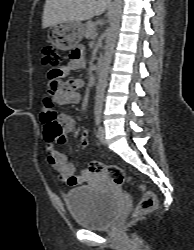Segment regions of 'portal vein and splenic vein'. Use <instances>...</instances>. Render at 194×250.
I'll return each mask as SVG.
<instances>
[{"mask_svg": "<svg viewBox=\"0 0 194 250\" xmlns=\"http://www.w3.org/2000/svg\"><path fill=\"white\" fill-rule=\"evenodd\" d=\"M94 36H97V32L94 33Z\"/></svg>", "mask_w": 194, "mask_h": 250, "instance_id": "obj_1", "label": "portal vein and splenic vein"}]
</instances>
